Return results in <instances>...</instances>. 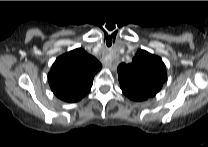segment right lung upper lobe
I'll return each instance as SVG.
<instances>
[{
  "mask_svg": "<svg viewBox=\"0 0 208 147\" xmlns=\"http://www.w3.org/2000/svg\"><path fill=\"white\" fill-rule=\"evenodd\" d=\"M101 63L81 48L58 57L48 74L53 93L66 102H76L92 87Z\"/></svg>",
  "mask_w": 208,
  "mask_h": 147,
  "instance_id": "cb5924a9",
  "label": "right lung upper lobe"
}]
</instances>
